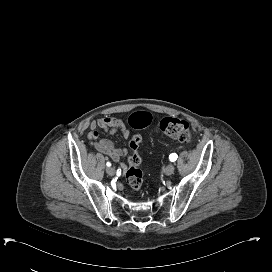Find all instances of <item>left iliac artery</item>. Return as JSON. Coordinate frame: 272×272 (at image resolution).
Returning <instances> with one entry per match:
<instances>
[{"instance_id":"obj_1","label":"left iliac artery","mask_w":272,"mask_h":272,"mask_svg":"<svg viewBox=\"0 0 272 272\" xmlns=\"http://www.w3.org/2000/svg\"><path fill=\"white\" fill-rule=\"evenodd\" d=\"M176 159H177V154L172 153V154L169 155V160H170L171 162L176 161Z\"/></svg>"}]
</instances>
